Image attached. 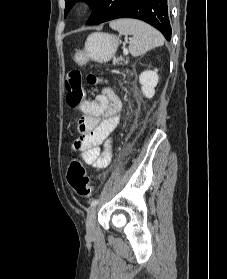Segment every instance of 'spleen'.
I'll return each instance as SVG.
<instances>
[{"label":"spleen","instance_id":"3e777b00","mask_svg":"<svg viewBox=\"0 0 227 279\" xmlns=\"http://www.w3.org/2000/svg\"><path fill=\"white\" fill-rule=\"evenodd\" d=\"M110 27L122 35H132L129 51L134 57L164 44V37L159 31L139 20L118 19L110 22Z\"/></svg>","mask_w":227,"mask_h":279}]
</instances>
